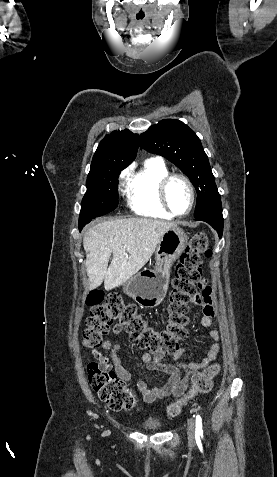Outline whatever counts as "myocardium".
<instances>
[{"instance_id":"myocardium-1","label":"myocardium","mask_w":277,"mask_h":477,"mask_svg":"<svg viewBox=\"0 0 277 477\" xmlns=\"http://www.w3.org/2000/svg\"><path fill=\"white\" fill-rule=\"evenodd\" d=\"M173 179H181L183 180L186 185L188 186L189 192H190V205L189 208L187 209L186 212L184 213H177L175 212L172 207L170 206V203L168 201V196H167V190L170 182ZM158 196L159 200L161 202V205L163 208L172 216L174 217H185L191 213V211L194 208L195 201H196V193H195V188L192 183V181L184 174L182 173H169L166 176H164L158 186Z\"/></svg>"}]
</instances>
